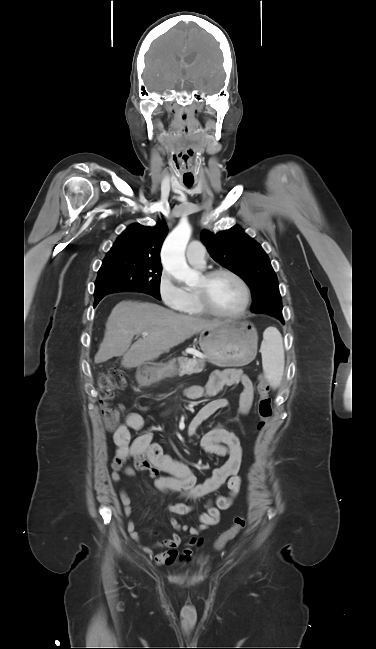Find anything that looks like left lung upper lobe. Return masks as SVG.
Wrapping results in <instances>:
<instances>
[{"instance_id": "5c2ea615", "label": "left lung upper lobe", "mask_w": 376, "mask_h": 649, "mask_svg": "<svg viewBox=\"0 0 376 649\" xmlns=\"http://www.w3.org/2000/svg\"><path fill=\"white\" fill-rule=\"evenodd\" d=\"M201 239L215 261L247 283L253 298L251 311L267 313L282 321L277 276L262 247L239 226L217 234L203 230Z\"/></svg>"}]
</instances>
